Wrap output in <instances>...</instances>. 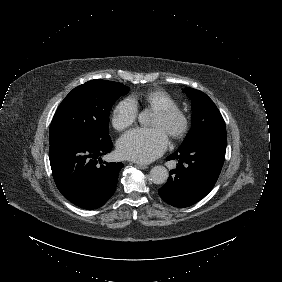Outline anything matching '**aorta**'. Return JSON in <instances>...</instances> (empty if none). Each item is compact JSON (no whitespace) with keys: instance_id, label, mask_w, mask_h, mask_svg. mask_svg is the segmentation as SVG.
I'll list each match as a JSON object with an SVG mask.
<instances>
[{"instance_id":"1","label":"aorta","mask_w":282,"mask_h":282,"mask_svg":"<svg viewBox=\"0 0 282 282\" xmlns=\"http://www.w3.org/2000/svg\"><path fill=\"white\" fill-rule=\"evenodd\" d=\"M138 120L142 125H149L151 122V114L148 110L142 111L138 116ZM149 176L154 184H163L167 181L169 174L164 166L159 165L151 169Z\"/></svg>"}]
</instances>
